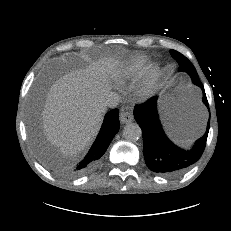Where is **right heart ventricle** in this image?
Segmentation results:
<instances>
[{
  "label": "right heart ventricle",
  "instance_id": "obj_1",
  "mask_svg": "<svg viewBox=\"0 0 231 231\" xmlns=\"http://www.w3.org/2000/svg\"><path fill=\"white\" fill-rule=\"evenodd\" d=\"M148 69V61L143 57L136 58L131 65L126 67L117 77L119 84H124L128 80L143 76Z\"/></svg>",
  "mask_w": 231,
  "mask_h": 231
}]
</instances>
